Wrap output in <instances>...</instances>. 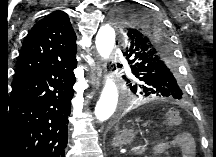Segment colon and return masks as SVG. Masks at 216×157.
I'll return each instance as SVG.
<instances>
[{"mask_svg":"<svg viewBox=\"0 0 216 157\" xmlns=\"http://www.w3.org/2000/svg\"><path fill=\"white\" fill-rule=\"evenodd\" d=\"M182 116L177 109H170L166 116V124L168 127H178L182 124Z\"/></svg>","mask_w":216,"mask_h":157,"instance_id":"1","label":"colon"}]
</instances>
